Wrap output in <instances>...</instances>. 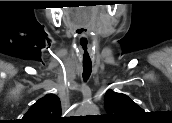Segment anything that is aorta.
Wrapping results in <instances>:
<instances>
[{"mask_svg":"<svg viewBox=\"0 0 172 123\" xmlns=\"http://www.w3.org/2000/svg\"><path fill=\"white\" fill-rule=\"evenodd\" d=\"M83 112L85 114L96 115L98 113V108L93 103H85L83 105Z\"/></svg>","mask_w":172,"mask_h":123,"instance_id":"1","label":"aorta"}]
</instances>
